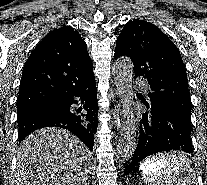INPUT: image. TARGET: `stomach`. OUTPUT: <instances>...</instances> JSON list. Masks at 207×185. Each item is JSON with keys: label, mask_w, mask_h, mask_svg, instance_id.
Segmentation results:
<instances>
[{"label": "stomach", "mask_w": 207, "mask_h": 185, "mask_svg": "<svg viewBox=\"0 0 207 185\" xmlns=\"http://www.w3.org/2000/svg\"><path fill=\"white\" fill-rule=\"evenodd\" d=\"M156 168H158L154 163H142L139 167L140 171L145 174L147 172H153Z\"/></svg>", "instance_id": "obj_1"}]
</instances>
